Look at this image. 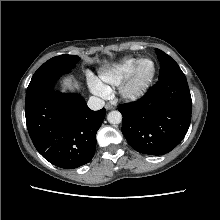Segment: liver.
Wrapping results in <instances>:
<instances>
[{"label":"liver","instance_id":"liver-1","mask_svg":"<svg viewBox=\"0 0 220 220\" xmlns=\"http://www.w3.org/2000/svg\"><path fill=\"white\" fill-rule=\"evenodd\" d=\"M65 84L68 86V88L70 89V90H73L74 89V87H76L77 88V84H71V81L70 80H65Z\"/></svg>","mask_w":220,"mask_h":220}]
</instances>
